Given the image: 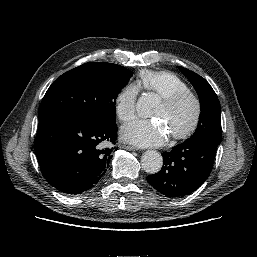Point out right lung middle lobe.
<instances>
[{
	"label": "right lung middle lobe",
	"instance_id": "obj_1",
	"mask_svg": "<svg viewBox=\"0 0 257 257\" xmlns=\"http://www.w3.org/2000/svg\"><path fill=\"white\" fill-rule=\"evenodd\" d=\"M132 73L112 63L89 62L57 78L39 107V120L61 113L115 123V101Z\"/></svg>",
	"mask_w": 257,
	"mask_h": 257
}]
</instances>
